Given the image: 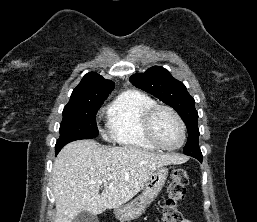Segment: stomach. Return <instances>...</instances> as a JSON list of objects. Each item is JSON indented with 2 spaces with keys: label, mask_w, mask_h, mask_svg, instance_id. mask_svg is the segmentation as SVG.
<instances>
[{
  "label": "stomach",
  "mask_w": 257,
  "mask_h": 222,
  "mask_svg": "<svg viewBox=\"0 0 257 222\" xmlns=\"http://www.w3.org/2000/svg\"><path fill=\"white\" fill-rule=\"evenodd\" d=\"M168 169L165 167L157 168L145 183L141 195L137 196L130 203L120 206L114 210V215L121 221H129L138 218L150 203L157 197L165 184Z\"/></svg>",
  "instance_id": "1"
}]
</instances>
